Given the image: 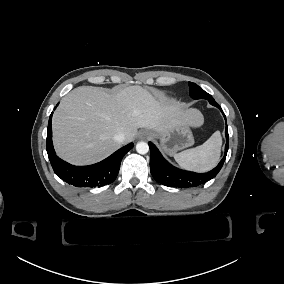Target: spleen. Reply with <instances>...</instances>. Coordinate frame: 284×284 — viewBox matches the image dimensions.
Masks as SVG:
<instances>
[{
  "label": "spleen",
  "instance_id": "1",
  "mask_svg": "<svg viewBox=\"0 0 284 284\" xmlns=\"http://www.w3.org/2000/svg\"><path fill=\"white\" fill-rule=\"evenodd\" d=\"M220 147L221 136L216 131L202 145L175 153L174 158L182 167L206 171L218 162Z\"/></svg>",
  "mask_w": 284,
  "mask_h": 284
}]
</instances>
